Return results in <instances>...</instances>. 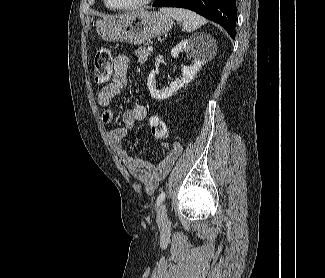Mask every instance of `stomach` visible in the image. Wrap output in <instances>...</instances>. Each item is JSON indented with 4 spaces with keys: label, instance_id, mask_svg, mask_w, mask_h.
Returning <instances> with one entry per match:
<instances>
[{
    "label": "stomach",
    "instance_id": "0dacf381",
    "mask_svg": "<svg viewBox=\"0 0 325 278\" xmlns=\"http://www.w3.org/2000/svg\"><path fill=\"white\" fill-rule=\"evenodd\" d=\"M173 20L167 14L140 10L123 18L97 20L95 27L98 35L105 41L126 42L141 45L148 40L167 33Z\"/></svg>",
    "mask_w": 325,
    "mask_h": 278
}]
</instances>
